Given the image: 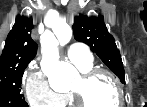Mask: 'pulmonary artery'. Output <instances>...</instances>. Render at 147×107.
Instances as JSON below:
<instances>
[{
	"instance_id": "e3ab8cb5",
	"label": "pulmonary artery",
	"mask_w": 147,
	"mask_h": 107,
	"mask_svg": "<svg viewBox=\"0 0 147 107\" xmlns=\"http://www.w3.org/2000/svg\"><path fill=\"white\" fill-rule=\"evenodd\" d=\"M69 60L77 67L89 66L93 58L88 48L83 44H72L67 50Z\"/></svg>"
}]
</instances>
